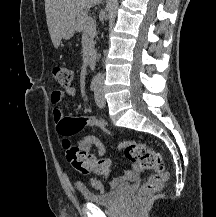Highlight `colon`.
Returning a JSON list of instances; mask_svg holds the SVG:
<instances>
[{
	"label": "colon",
	"mask_w": 216,
	"mask_h": 217,
	"mask_svg": "<svg viewBox=\"0 0 216 217\" xmlns=\"http://www.w3.org/2000/svg\"><path fill=\"white\" fill-rule=\"evenodd\" d=\"M53 77L59 85L69 88L72 82V71L65 66H55ZM93 127L105 133L124 149L125 158L139 167L140 170H153L154 173L140 187L134 197L136 204H142L153 196L168 179L163 158L160 152L154 151L145 143L118 137L107 123L98 117H73L65 119L58 127L59 132L68 137L80 132L85 127ZM67 161L81 174L91 172L108 174V163L105 160L95 161L91 154L78 146L72 145L68 140L63 142Z\"/></svg>",
	"instance_id": "colon-1"
}]
</instances>
